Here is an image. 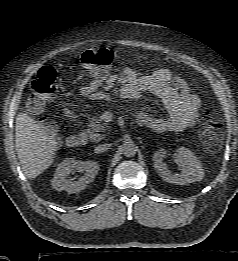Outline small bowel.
<instances>
[{
	"label": "small bowel",
	"instance_id": "obj_1",
	"mask_svg": "<svg viewBox=\"0 0 238 261\" xmlns=\"http://www.w3.org/2000/svg\"><path fill=\"white\" fill-rule=\"evenodd\" d=\"M144 93H151L161 100L167 117L141 113L138 120L142 125L156 132H165L182 131L195 123L200 98L191 92L184 79L168 69L144 74L129 67L117 68L114 73L96 77L80 89L83 97L104 101L116 97L136 100Z\"/></svg>",
	"mask_w": 238,
	"mask_h": 261
}]
</instances>
